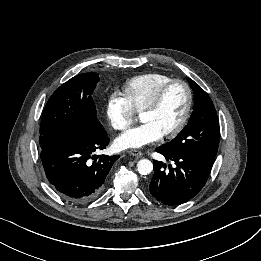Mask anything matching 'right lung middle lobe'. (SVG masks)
I'll return each mask as SVG.
<instances>
[{"label": "right lung middle lobe", "instance_id": "1", "mask_svg": "<svg viewBox=\"0 0 261 261\" xmlns=\"http://www.w3.org/2000/svg\"><path fill=\"white\" fill-rule=\"evenodd\" d=\"M97 73H83L62 84L48 100L40 125V147L49 148L75 136L105 132L91 97Z\"/></svg>", "mask_w": 261, "mask_h": 261}]
</instances>
